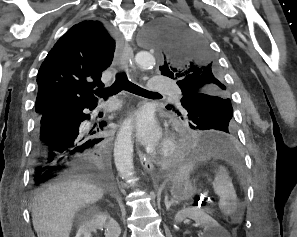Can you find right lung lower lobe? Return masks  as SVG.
Returning <instances> with one entry per match:
<instances>
[{
    "instance_id": "98d812e1",
    "label": "right lung lower lobe",
    "mask_w": 297,
    "mask_h": 237,
    "mask_svg": "<svg viewBox=\"0 0 297 237\" xmlns=\"http://www.w3.org/2000/svg\"><path fill=\"white\" fill-rule=\"evenodd\" d=\"M95 106L52 109L37 116L32 168L36 187L80 173L109 177L110 164L102 143L104 138L92 137L106 124L101 123L89 132L80 126L89 119L84 109L92 110Z\"/></svg>"
}]
</instances>
